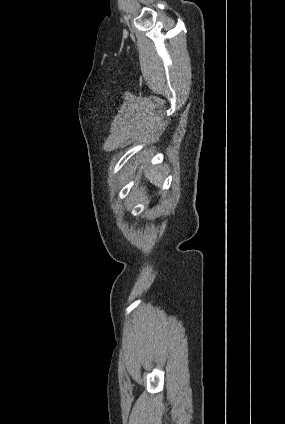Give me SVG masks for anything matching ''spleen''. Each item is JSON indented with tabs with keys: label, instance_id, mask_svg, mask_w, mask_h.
<instances>
[{
	"label": "spleen",
	"instance_id": "3e777b00",
	"mask_svg": "<svg viewBox=\"0 0 285 424\" xmlns=\"http://www.w3.org/2000/svg\"><path fill=\"white\" fill-rule=\"evenodd\" d=\"M146 177L150 180V182L152 184H154L155 186H158V187H160L162 182H163L162 175L160 173H158V171H156L155 169L147 171Z\"/></svg>",
	"mask_w": 285,
	"mask_h": 424
}]
</instances>
